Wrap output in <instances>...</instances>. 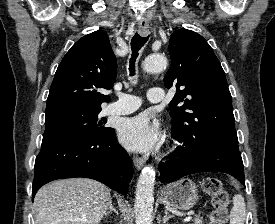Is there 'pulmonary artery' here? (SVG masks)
Segmentation results:
<instances>
[{
    "label": "pulmonary artery",
    "instance_id": "obj_1",
    "mask_svg": "<svg viewBox=\"0 0 275 224\" xmlns=\"http://www.w3.org/2000/svg\"><path fill=\"white\" fill-rule=\"evenodd\" d=\"M147 98L151 103L160 102L164 98V90L160 87L150 88L147 92ZM141 106L138 97L130 94H120L119 99L107 107L109 114L123 115L134 112Z\"/></svg>",
    "mask_w": 275,
    "mask_h": 224
}]
</instances>
